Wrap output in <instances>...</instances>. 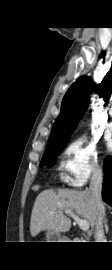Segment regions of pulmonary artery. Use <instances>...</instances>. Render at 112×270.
Masks as SVG:
<instances>
[{
  "label": "pulmonary artery",
  "instance_id": "e3ab8cb5",
  "mask_svg": "<svg viewBox=\"0 0 112 270\" xmlns=\"http://www.w3.org/2000/svg\"><path fill=\"white\" fill-rule=\"evenodd\" d=\"M110 115H111V117H112V112H111ZM108 128H109L110 131H112V121L108 124Z\"/></svg>",
  "mask_w": 112,
  "mask_h": 270
}]
</instances>
